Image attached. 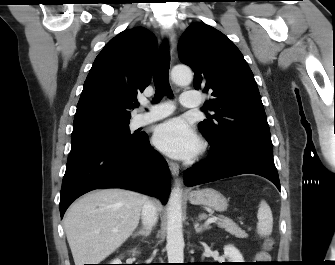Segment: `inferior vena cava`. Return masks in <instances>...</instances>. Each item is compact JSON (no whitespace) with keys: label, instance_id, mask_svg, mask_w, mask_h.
Here are the masks:
<instances>
[{"label":"inferior vena cava","instance_id":"602c4592","mask_svg":"<svg viewBox=\"0 0 335 265\" xmlns=\"http://www.w3.org/2000/svg\"><path fill=\"white\" fill-rule=\"evenodd\" d=\"M142 221L146 228H152L157 222V208L154 204L144 198L143 206H142Z\"/></svg>","mask_w":335,"mask_h":265}]
</instances>
